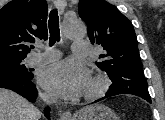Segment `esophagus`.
I'll list each match as a JSON object with an SVG mask.
<instances>
[{
	"label": "esophagus",
	"mask_w": 165,
	"mask_h": 120,
	"mask_svg": "<svg viewBox=\"0 0 165 120\" xmlns=\"http://www.w3.org/2000/svg\"><path fill=\"white\" fill-rule=\"evenodd\" d=\"M65 5H66V3L64 0H55L54 1V6L61 11L65 8ZM60 120H73V116L69 111H65L61 114Z\"/></svg>",
	"instance_id": "esophagus-1"
}]
</instances>
